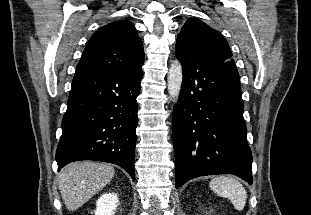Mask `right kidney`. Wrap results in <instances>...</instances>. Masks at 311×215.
<instances>
[{
  "label": "right kidney",
  "instance_id": "1",
  "mask_svg": "<svg viewBox=\"0 0 311 215\" xmlns=\"http://www.w3.org/2000/svg\"><path fill=\"white\" fill-rule=\"evenodd\" d=\"M118 197L114 193L103 194L96 202L95 215H114Z\"/></svg>",
  "mask_w": 311,
  "mask_h": 215
}]
</instances>
